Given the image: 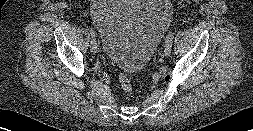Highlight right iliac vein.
Here are the masks:
<instances>
[{
  "mask_svg": "<svg viewBox=\"0 0 253 131\" xmlns=\"http://www.w3.org/2000/svg\"><path fill=\"white\" fill-rule=\"evenodd\" d=\"M92 39H94V40L96 41V39H95L94 36L92 37ZM91 51H92L93 53H96V52L98 51V44H97V41H96V44H95L94 46H91Z\"/></svg>",
  "mask_w": 253,
  "mask_h": 131,
  "instance_id": "63e3f726",
  "label": "right iliac vein"
}]
</instances>
